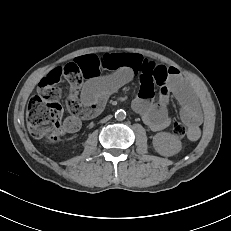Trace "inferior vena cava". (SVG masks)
Listing matches in <instances>:
<instances>
[{
	"mask_svg": "<svg viewBox=\"0 0 231 231\" xmlns=\"http://www.w3.org/2000/svg\"><path fill=\"white\" fill-rule=\"evenodd\" d=\"M111 115H109V116H107V117H105L104 119H103V121H107V120H109V119H111Z\"/></svg>",
	"mask_w": 231,
	"mask_h": 231,
	"instance_id": "1",
	"label": "inferior vena cava"
}]
</instances>
